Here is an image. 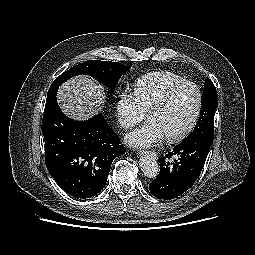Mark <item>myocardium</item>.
Listing matches in <instances>:
<instances>
[{"label": "myocardium", "mask_w": 255, "mask_h": 255, "mask_svg": "<svg viewBox=\"0 0 255 255\" xmlns=\"http://www.w3.org/2000/svg\"><path fill=\"white\" fill-rule=\"evenodd\" d=\"M191 85L197 90L198 94V100H197V106L196 110L194 112L193 117L191 118L188 125L178 134L166 136V140L169 143H178L184 140L194 129V127L197 124V121L201 115L202 106H203V94L201 91V88L194 82L185 80L172 88H170L167 92L164 93V95L153 105V107L148 112V118L155 112L160 111L163 109L168 102L170 101L171 97L180 89H182L185 86Z\"/></svg>", "instance_id": "myocardium-1"}]
</instances>
